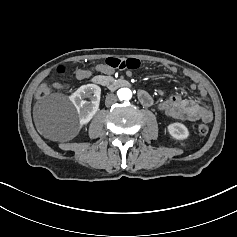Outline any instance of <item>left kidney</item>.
<instances>
[{
    "mask_svg": "<svg viewBox=\"0 0 237 237\" xmlns=\"http://www.w3.org/2000/svg\"><path fill=\"white\" fill-rule=\"evenodd\" d=\"M167 132L174 140H185L190 136L188 128L181 122H172L168 124Z\"/></svg>",
    "mask_w": 237,
    "mask_h": 237,
    "instance_id": "5707ae66",
    "label": "left kidney"
}]
</instances>
